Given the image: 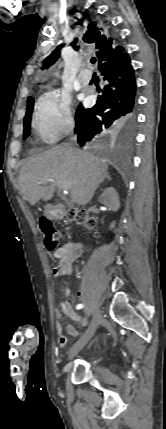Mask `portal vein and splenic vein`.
<instances>
[{
	"label": "portal vein and splenic vein",
	"instance_id": "18ae733b",
	"mask_svg": "<svg viewBox=\"0 0 166 429\" xmlns=\"http://www.w3.org/2000/svg\"><path fill=\"white\" fill-rule=\"evenodd\" d=\"M47 181H43L42 183H46ZM54 184H56L60 189L68 191L71 189V183L69 181H58V182H53Z\"/></svg>",
	"mask_w": 166,
	"mask_h": 429
}]
</instances>
